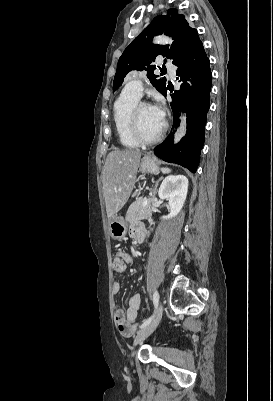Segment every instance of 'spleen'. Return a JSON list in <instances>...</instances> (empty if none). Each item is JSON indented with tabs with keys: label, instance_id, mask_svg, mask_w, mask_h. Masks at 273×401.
Listing matches in <instances>:
<instances>
[{
	"label": "spleen",
	"instance_id": "3e777b00",
	"mask_svg": "<svg viewBox=\"0 0 273 401\" xmlns=\"http://www.w3.org/2000/svg\"><path fill=\"white\" fill-rule=\"evenodd\" d=\"M162 172H170V168H162Z\"/></svg>",
	"mask_w": 273,
	"mask_h": 401
}]
</instances>
